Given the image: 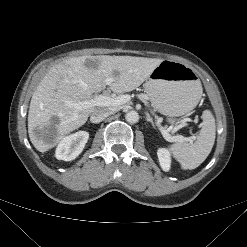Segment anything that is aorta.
Returning a JSON list of instances; mask_svg holds the SVG:
<instances>
[{
  "label": "aorta",
  "mask_w": 247,
  "mask_h": 247,
  "mask_svg": "<svg viewBox=\"0 0 247 247\" xmlns=\"http://www.w3.org/2000/svg\"><path fill=\"white\" fill-rule=\"evenodd\" d=\"M125 119L129 123H132V124L137 123L139 121V114L136 111L131 110L126 113Z\"/></svg>",
  "instance_id": "762f6f07"
}]
</instances>
